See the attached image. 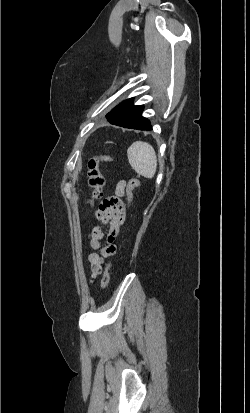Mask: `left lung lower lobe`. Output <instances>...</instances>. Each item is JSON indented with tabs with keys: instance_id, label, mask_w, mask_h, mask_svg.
<instances>
[{
	"instance_id": "left-lung-lower-lobe-1",
	"label": "left lung lower lobe",
	"mask_w": 250,
	"mask_h": 413,
	"mask_svg": "<svg viewBox=\"0 0 250 413\" xmlns=\"http://www.w3.org/2000/svg\"><path fill=\"white\" fill-rule=\"evenodd\" d=\"M132 99H127L122 102L118 112L106 117L107 120L114 125L137 130H151V125L148 119L142 117V106H134L131 103ZM129 103V104H128Z\"/></svg>"
}]
</instances>
